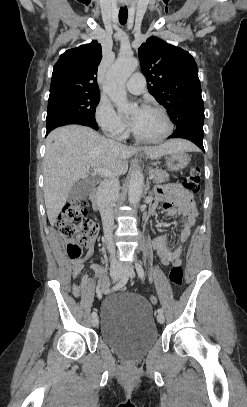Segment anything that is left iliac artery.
<instances>
[{
    "mask_svg": "<svg viewBox=\"0 0 247 407\" xmlns=\"http://www.w3.org/2000/svg\"><path fill=\"white\" fill-rule=\"evenodd\" d=\"M135 267H136V271H137V273H138V276L140 277L141 280H143V279H144V276H145L143 267H142L141 264H139V263H136V264H135ZM158 313L162 314V313H163V309H162V308H159V309H158Z\"/></svg>",
    "mask_w": 247,
    "mask_h": 407,
    "instance_id": "44dca946",
    "label": "left iliac artery"
}]
</instances>
